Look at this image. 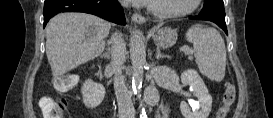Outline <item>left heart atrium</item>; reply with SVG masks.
I'll use <instances>...</instances> for the list:
<instances>
[{"label":"left heart atrium","mask_w":273,"mask_h":118,"mask_svg":"<svg viewBox=\"0 0 273 118\" xmlns=\"http://www.w3.org/2000/svg\"><path fill=\"white\" fill-rule=\"evenodd\" d=\"M132 1H136L137 3H140L142 5H148L153 2L152 0H132Z\"/></svg>","instance_id":"obj_1"}]
</instances>
